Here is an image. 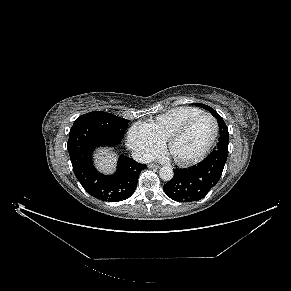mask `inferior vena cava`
<instances>
[{
    "mask_svg": "<svg viewBox=\"0 0 291 291\" xmlns=\"http://www.w3.org/2000/svg\"><path fill=\"white\" fill-rule=\"evenodd\" d=\"M132 158L139 163H150L154 159L149 151L140 149H136L132 152Z\"/></svg>",
    "mask_w": 291,
    "mask_h": 291,
    "instance_id": "inferior-vena-cava-1",
    "label": "inferior vena cava"
}]
</instances>
